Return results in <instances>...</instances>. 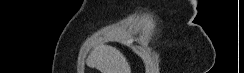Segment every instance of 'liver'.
I'll return each mask as SVG.
<instances>
[{"label":"liver","instance_id":"6515ba94","mask_svg":"<svg viewBox=\"0 0 244 73\" xmlns=\"http://www.w3.org/2000/svg\"><path fill=\"white\" fill-rule=\"evenodd\" d=\"M89 64L101 73H131L125 56L115 47L101 45L91 52Z\"/></svg>","mask_w":244,"mask_h":73}]
</instances>
